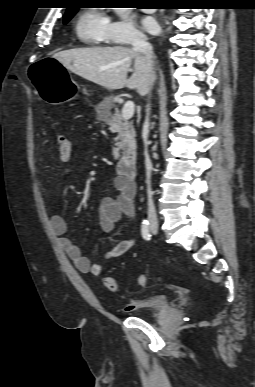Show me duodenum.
I'll use <instances>...</instances> for the list:
<instances>
[{
  "mask_svg": "<svg viewBox=\"0 0 255 387\" xmlns=\"http://www.w3.org/2000/svg\"><path fill=\"white\" fill-rule=\"evenodd\" d=\"M117 171L122 179L133 183L137 176V161L133 156L122 158L117 164Z\"/></svg>",
  "mask_w": 255,
  "mask_h": 387,
  "instance_id": "410a0bca",
  "label": "duodenum"
}]
</instances>
